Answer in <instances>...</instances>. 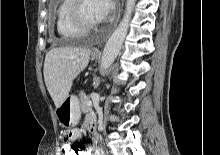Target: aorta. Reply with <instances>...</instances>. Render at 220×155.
Returning <instances> with one entry per match:
<instances>
[{"mask_svg":"<svg viewBox=\"0 0 220 155\" xmlns=\"http://www.w3.org/2000/svg\"><path fill=\"white\" fill-rule=\"evenodd\" d=\"M135 5V0H126V9L118 27L108 39L105 48L103 50L101 59L102 71L107 70L111 64L115 61L118 53L121 50L123 42L128 32L129 23L132 15V11Z\"/></svg>","mask_w":220,"mask_h":155,"instance_id":"obj_1","label":"aorta"}]
</instances>
